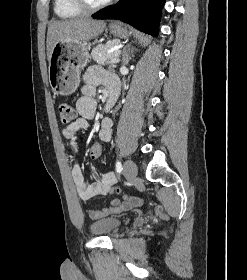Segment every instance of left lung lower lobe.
I'll return each instance as SVG.
<instances>
[{"label":"left lung lower lobe","mask_w":247,"mask_h":280,"mask_svg":"<svg viewBox=\"0 0 247 280\" xmlns=\"http://www.w3.org/2000/svg\"><path fill=\"white\" fill-rule=\"evenodd\" d=\"M165 0H120L93 16L95 19H119L138 30L158 36L161 9Z\"/></svg>","instance_id":"1"}]
</instances>
